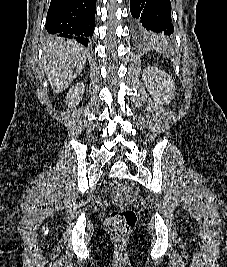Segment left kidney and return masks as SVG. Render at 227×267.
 Instances as JSON below:
<instances>
[{"mask_svg": "<svg viewBox=\"0 0 227 267\" xmlns=\"http://www.w3.org/2000/svg\"><path fill=\"white\" fill-rule=\"evenodd\" d=\"M145 86L159 104H169L174 98L175 84L172 77L163 70L148 66L142 75Z\"/></svg>", "mask_w": 227, "mask_h": 267, "instance_id": "1", "label": "left kidney"}]
</instances>
